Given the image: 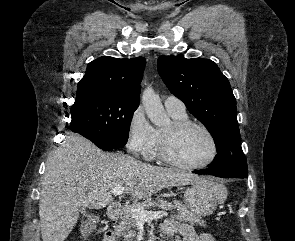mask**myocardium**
Returning <instances> with one entry per match:
<instances>
[{
	"mask_svg": "<svg viewBox=\"0 0 295 241\" xmlns=\"http://www.w3.org/2000/svg\"><path fill=\"white\" fill-rule=\"evenodd\" d=\"M190 127H195L203 131L206 134V136L209 138L212 145V152L209 158L206 161L199 164H186V163L180 162L176 160L171 155V152H170V143H171L172 136ZM218 153H219V146H218L216 137L207 126H205L204 124L200 122L188 120V119L174 120L171 123L170 128L168 130L161 132L160 140H159L158 155L164 162H166L167 164L171 166L184 169V170L204 169L208 167L209 165H211L216 160Z\"/></svg>",
	"mask_w": 295,
	"mask_h": 241,
	"instance_id": "obj_1",
	"label": "myocardium"
}]
</instances>
